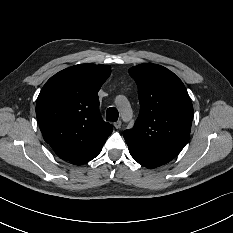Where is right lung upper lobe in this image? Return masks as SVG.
I'll return each instance as SVG.
<instances>
[{
    "mask_svg": "<svg viewBox=\"0 0 233 233\" xmlns=\"http://www.w3.org/2000/svg\"><path fill=\"white\" fill-rule=\"evenodd\" d=\"M110 73L107 65L80 64L43 86L36 116L44 140L60 158L83 165L101 152L113 127L101 118L98 91Z\"/></svg>",
    "mask_w": 233,
    "mask_h": 233,
    "instance_id": "right-lung-upper-lobe-1",
    "label": "right lung upper lobe"
}]
</instances>
